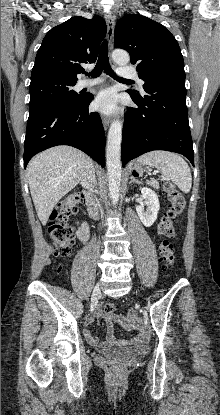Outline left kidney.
Returning a JSON list of instances; mask_svg holds the SVG:
<instances>
[{
	"mask_svg": "<svg viewBox=\"0 0 220 415\" xmlns=\"http://www.w3.org/2000/svg\"><path fill=\"white\" fill-rule=\"evenodd\" d=\"M142 197L147 205L146 211L144 206L139 205L136 207L137 214L144 226L150 227L157 219V214L160 208L159 199L157 194L149 188H141Z\"/></svg>",
	"mask_w": 220,
	"mask_h": 415,
	"instance_id": "obj_1",
	"label": "left kidney"
}]
</instances>
